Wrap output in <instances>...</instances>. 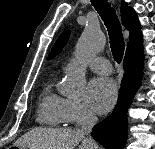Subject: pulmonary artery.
Listing matches in <instances>:
<instances>
[{"mask_svg": "<svg viewBox=\"0 0 155 149\" xmlns=\"http://www.w3.org/2000/svg\"><path fill=\"white\" fill-rule=\"evenodd\" d=\"M89 68L99 74L108 75L112 71L110 62L104 57H96L87 62Z\"/></svg>", "mask_w": 155, "mask_h": 149, "instance_id": "1", "label": "pulmonary artery"}]
</instances>
